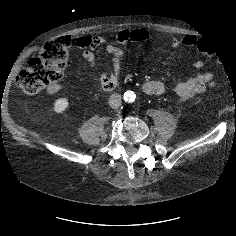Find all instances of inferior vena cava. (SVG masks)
Instances as JSON below:
<instances>
[{
    "label": "inferior vena cava",
    "instance_id": "inferior-vena-cava-1",
    "mask_svg": "<svg viewBox=\"0 0 236 236\" xmlns=\"http://www.w3.org/2000/svg\"><path fill=\"white\" fill-rule=\"evenodd\" d=\"M121 95L114 93L109 98V105L111 108L116 109L121 106L122 100Z\"/></svg>",
    "mask_w": 236,
    "mask_h": 236
}]
</instances>
